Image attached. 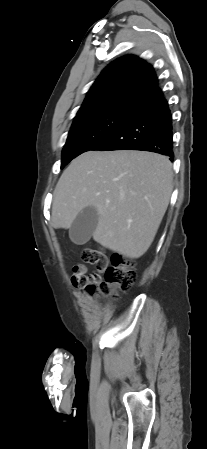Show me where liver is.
I'll return each instance as SVG.
<instances>
[{
  "label": "liver",
  "mask_w": 207,
  "mask_h": 449,
  "mask_svg": "<svg viewBox=\"0 0 207 449\" xmlns=\"http://www.w3.org/2000/svg\"><path fill=\"white\" fill-rule=\"evenodd\" d=\"M168 157L145 151H88L62 173L52 204L51 225L68 229L78 213L98 212L93 239L128 258L152 244L172 193Z\"/></svg>",
  "instance_id": "1"
}]
</instances>
